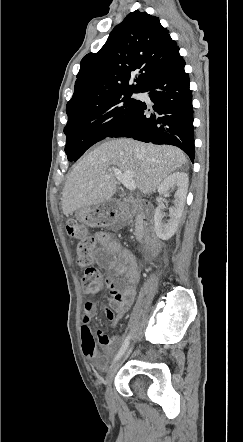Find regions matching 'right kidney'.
<instances>
[{"label":"right kidney","instance_id":"1","mask_svg":"<svg viewBox=\"0 0 243 442\" xmlns=\"http://www.w3.org/2000/svg\"><path fill=\"white\" fill-rule=\"evenodd\" d=\"M188 175L184 172H175L166 177L158 186V193L169 196V191L175 189L173 206L169 209L170 219L167 222L163 221L165 216L161 207H157L154 215V228L156 235L162 240L170 239L176 232L179 220L182 216L185 200L188 190ZM158 202L162 198L157 199Z\"/></svg>","mask_w":243,"mask_h":442}]
</instances>
